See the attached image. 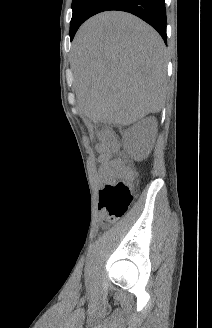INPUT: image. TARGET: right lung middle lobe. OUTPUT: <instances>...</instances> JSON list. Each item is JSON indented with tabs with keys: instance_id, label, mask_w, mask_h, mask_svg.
Listing matches in <instances>:
<instances>
[{
	"instance_id": "obj_1",
	"label": "right lung middle lobe",
	"mask_w": 212,
	"mask_h": 328,
	"mask_svg": "<svg viewBox=\"0 0 212 328\" xmlns=\"http://www.w3.org/2000/svg\"><path fill=\"white\" fill-rule=\"evenodd\" d=\"M95 0H73V15L70 23V37L74 36L79 26L86 20L89 9Z\"/></svg>"
}]
</instances>
